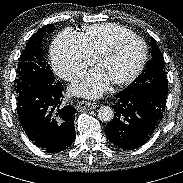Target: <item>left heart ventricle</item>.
Wrapping results in <instances>:
<instances>
[{"label":"left heart ventricle","mask_w":183,"mask_h":183,"mask_svg":"<svg viewBox=\"0 0 183 183\" xmlns=\"http://www.w3.org/2000/svg\"><path fill=\"white\" fill-rule=\"evenodd\" d=\"M142 52V44L137 40H130L123 43L113 55L103 59L97 67L112 83L126 77L134 70Z\"/></svg>","instance_id":"left-heart-ventricle-1"}]
</instances>
